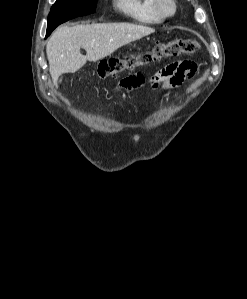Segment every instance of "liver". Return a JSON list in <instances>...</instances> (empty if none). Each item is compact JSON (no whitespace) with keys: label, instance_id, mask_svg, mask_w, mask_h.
I'll return each instance as SVG.
<instances>
[{"label":"liver","instance_id":"liver-1","mask_svg":"<svg viewBox=\"0 0 247 299\" xmlns=\"http://www.w3.org/2000/svg\"><path fill=\"white\" fill-rule=\"evenodd\" d=\"M155 32V29L130 23H97L61 26L46 46L49 71L56 84L63 73H75L87 61H98L118 48ZM86 51L82 55L80 49Z\"/></svg>","mask_w":247,"mask_h":299}]
</instances>
